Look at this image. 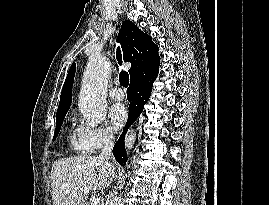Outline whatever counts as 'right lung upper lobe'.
<instances>
[{
    "label": "right lung upper lobe",
    "instance_id": "right-lung-upper-lobe-1",
    "mask_svg": "<svg viewBox=\"0 0 269 205\" xmlns=\"http://www.w3.org/2000/svg\"><path fill=\"white\" fill-rule=\"evenodd\" d=\"M118 41L123 48L124 61H129L132 64L129 69L131 81L147 74L158 73L160 63L158 46L153 43L149 35L143 33L131 21L125 20L119 31ZM75 70L76 66L73 63L63 85L56 118L65 116L70 108Z\"/></svg>",
    "mask_w": 269,
    "mask_h": 205
}]
</instances>
